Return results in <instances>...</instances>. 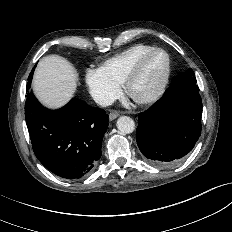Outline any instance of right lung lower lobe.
I'll list each match as a JSON object with an SVG mask.
<instances>
[{
    "label": "right lung lower lobe",
    "instance_id": "right-lung-lower-lobe-1",
    "mask_svg": "<svg viewBox=\"0 0 232 232\" xmlns=\"http://www.w3.org/2000/svg\"><path fill=\"white\" fill-rule=\"evenodd\" d=\"M27 88L25 119L38 160L66 179L87 175L101 157L109 116L77 98L59 110H49Z\"/></svg>",
    "mask_w": 232,
    "mask_h": 232
}]
</instances>
